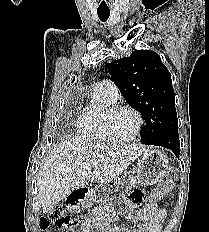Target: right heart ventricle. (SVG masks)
I'll use <instances>...</instances> for the list:
<instances>
[{"label": "right heart ventricle", "instance_id": "e07e8e85", "mask_svg": "<svg viewBox=\"0 0 209 232\" xmlns=\"http://www.w3.org/2000/svg\"><path fill=\"white\" fill-rule=\"evenodd\" d=\"M112 101L106 94L94 90L90 103L77 117L76 130L78 135L91 143L103 144L108 142L103 130L105 111L112 106Z\"/></svg>", "mask_w": 209, "mask_h": 232}]
</instances>
